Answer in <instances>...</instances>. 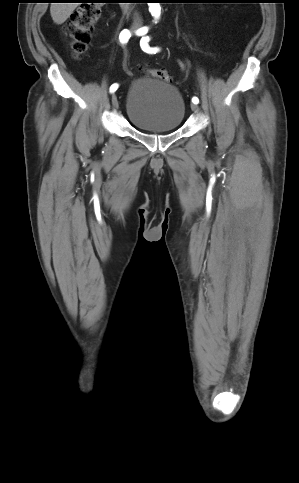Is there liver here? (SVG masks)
<instances>
[{
  "label": "liver",
  "instance_id": "liver-1",
  "mask_svg": "<svg viewBox=\"0 0 299 483\" xmlns=\"http://www.w3.org/2000/svg\"><path fill=\"white\" fill-rule=\"evenodd\" d=\"M79 3H51L50 14L54 23L63 24Z\"/></svg>",
  "mask_w": 299,
  "mask_h": 483
}]
</instances>
